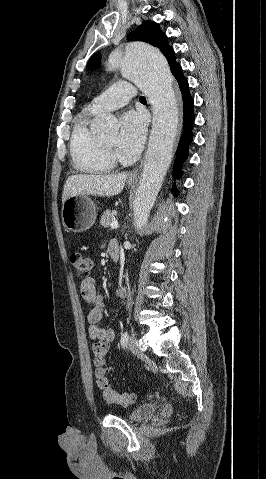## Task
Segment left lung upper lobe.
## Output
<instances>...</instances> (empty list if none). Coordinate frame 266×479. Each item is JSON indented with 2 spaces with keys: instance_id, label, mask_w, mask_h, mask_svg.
I'll list each match as a JSON object with an SVG mask.
<instances>
[{
  "instance_id": "left-lung-upper-lobe-1",
  "label": "left lung upper lobe",
  "mask_w": 266,
  "mask_h": 479,
  "mask_svg": "<svg viewBox=\"0 0 266 479\" xmlns=\"http://www.w3.org/2000/svg\"><path fill=\"white\" fill-rule=\"evenodd\" d=\"M128 39L132 41H143L158 47L167 58L171 70L178 65V63L175 61L174 51L167 43L166 35L161 31L155 22L144 21L128 35ZM100 60L101 55L96 54L90 59L89 63L91 65H99Z\"/></svg>"
}]
</instances>
